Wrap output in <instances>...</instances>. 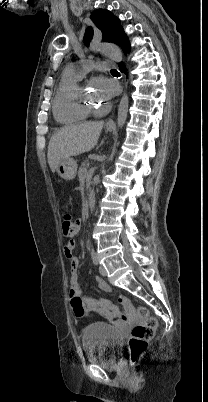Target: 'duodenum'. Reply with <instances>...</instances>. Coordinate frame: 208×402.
<instances>
[{
	"mask_svg": "<svg viewBox=\"0 0 208 402\" xmlns=\"http://www.w3.org/2000/svg\"><path fill=\"white\" fill-rule=\"evenodd\" d=\"M87 205L89 208H93L95 205V195L93 193H90L88 198H87Z\"/></svg>",
	"mask_w": 208,
	"mask_h": 402,
	"instance_id": "duodenum-1",
	"label": "duodenum"
}]
</instances>
